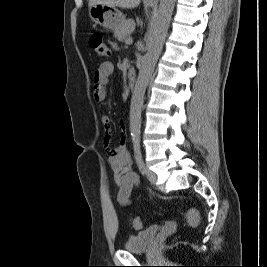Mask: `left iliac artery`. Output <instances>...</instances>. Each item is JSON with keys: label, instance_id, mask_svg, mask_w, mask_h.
Returning a JSON list of instances; mask_svg holds the SVG:
<instances>
[{"label": "left iliac artery", "instance_id": "44dca946", "mask_svg": "<svg viewBox=\"0 0 267 267\" xmlns=\"http://www.w3.org/2000/svg\"><path fill=\"white\" fill-rule=\"evenodd\" d=\"M134 156L137 163V166L142 174H145V165L142 159V153H141V147H140V141L135 140L134 141Z\"/></svg>", "mask_w": 267, "mask_h": 267}]
</instances>
